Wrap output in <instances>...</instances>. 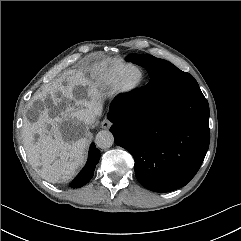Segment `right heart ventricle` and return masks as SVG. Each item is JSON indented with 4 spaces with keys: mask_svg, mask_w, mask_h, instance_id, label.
<instances>
[{
    "mask_svg": "<svg viewBox=\"0 0 241 241\" xmlns=\"http://www.w3.org/2000/svg\"><path fill=\"white\" fill-rule=\"evenodd\" d=\"M127 65L128 64L123 62H110L99 69V72L97 74V80L103 86L112 87L115 84V80L118 74Z\"/></svg>",
    "mask_w": 241,
    "mask_h": 241,
    "instance_id": "1",
    "label": "right heart ventricle"
}]
</instances>
